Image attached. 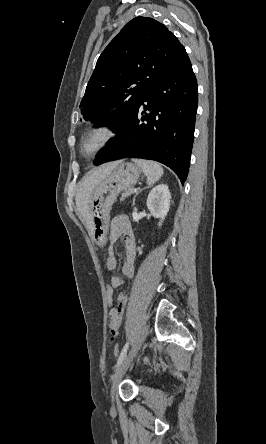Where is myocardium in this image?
I'll list each match as a JSON object with an SVG mask.
<instances>
[{
  "instance_id": "1",
  "label": "myocardium",
  "mask_w": 266,
  "mask_h": 444,
  "mask_svg": "<svg viewBox=\"0 0 266 444\" xmlns=\"http://www.w3.org/2000/svg\"><path fill=\"white\" fill-rule=\"evenodd\" d=\"M118 130L116 126L110 121L99 122L82 135L79 149L80 153L84 156H94L107 148L117 137ZM92 138H99L97 145L91 150H87V142Z\"/></svg>"
}]
</instances>
